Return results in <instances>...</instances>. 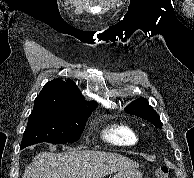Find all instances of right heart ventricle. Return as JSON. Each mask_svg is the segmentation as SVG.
I'll return each instance as SVG.
<instances>
[{
    "mask_svg": "<svg viewBox=\"0 0 194 178\" xmlns=\"http://www.w3.org/2000/svg\"><path fill=\"white\" fill-rule=\"evenodd\" d=\"M102 137L106 142L117 146H132L139 142L136 131L124 123L108 125L102 131Z\"/></svg>",
    "mask_w": 194,
    "mask_h": 178,
    "instance_id": "e07e8e85",
    "label": "right heart ventricle"
}]
</instances>
